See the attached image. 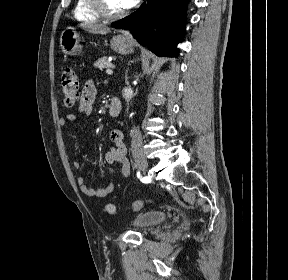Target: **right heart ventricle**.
Here are the masks:
<instances>
[{
  "label": "right heart ventricle",
  "instance_id": "1",
  "mask_svg": "<svg viewBox=\"0 0 288 280\" xmlns=\"http://www.w3.org/2000/svg\"><path fill=\"white\" fill-rule=\"evenodd\" d=\"M74 17L78 21L95 23L100 17L91 9L89 0H76L74 6Z\"/></svg>",
  "mask_w": 288,
  "mask_h": 280
}]
</instances>
